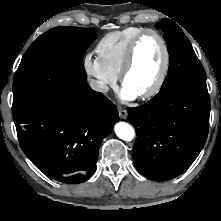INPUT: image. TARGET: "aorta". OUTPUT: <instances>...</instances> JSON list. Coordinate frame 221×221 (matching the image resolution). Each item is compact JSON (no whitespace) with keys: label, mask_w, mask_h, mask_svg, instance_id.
I'll return each instance as SVG.
<instances>
[{"label":"aorta","mask_w":221,"mask_h":221,"mask_svg":"<svg viewBox=\"0 0 221 221\" xmlns=\"http://www.w3.org/2000/svg\"><path fill=\"white\" fill-rule=\"evenodd\" d=\"M116 135L125 141H131L134 138L135 131L133 127L126 122H118L114 126Z\"/></svg>","instance_id":"762f6f07"}]
</instances>
